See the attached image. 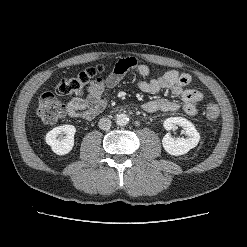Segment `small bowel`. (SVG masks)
<instances>
[{
    "label": "small bowel",
    "mask_w": 247,
    "mask_h": 247,
    "mask_svg": "<svg viewBox=\"0 0 247 247\" xmlns=\"http://www.w3.org/2000/svg\"><path fill=\"white\" fill-rule=\"evenodd\" d=\"M119 62L127 63V69L119 71L114 67L104 78H98L90 84L85 98L72 97L69 99L66 110L70 117L90 120L97 116L107 103L104 96L105 90L114 88L122 80L125 73L131 69L136 70L145 78L139 83L141 91L149 94L168 91L182 99L183 110L187 115L195 116L198 114L203 95L200 91L189 87L191 82L189 74L169 70L155 78L147 79L150 76V69L147 65L138 62L133 57L121 59ZM142 108L149 113L174 112L180 108V104L174 99L158 98L146 102Z\"/></svg>",
    "instance_id": "1"
}]
</instances>
